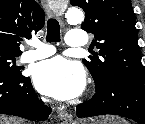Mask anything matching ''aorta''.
I'll return each mask as SVG.
<instances>
[{
	"mask_svg": "<svg viewBox=\"0 0 145 124\" xmlns=\"http://www.w3.org/2000/svg\"><path fill=\"white\" fill-rule=\"evenodd\" d=\"M65 17H66L67 21L71 24L81 23L84 20V15H83L82 11H80L79 9H75V8L69 9L66 12Z\"/></svg>",
	"mask_w": 145,
	"mask_h": 124,
	"instance_id": "1",
	"label": "aorta"
}]
</instances>
